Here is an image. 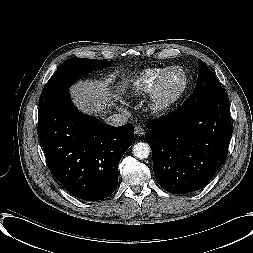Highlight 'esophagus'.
I'll list each match as a JSON object with an SVG mask.
<instances>
[{
	"label": "esophagus",
	"instance_id": "34e87169",
	"mask_svg": "<svg viewBox=\"0 0 253 253\" xmlns=\"http://www.w3.org/2000/svg\"><path fill=\"white\" fill-rule=\"evenodd\" d=\"M134 133L137 135V136H143L145 134V129L142 128L141 126H135L134 128Z\"/></svg>",
	"mask_w": 253,
	"mask_h": 253
}]
</instances>
